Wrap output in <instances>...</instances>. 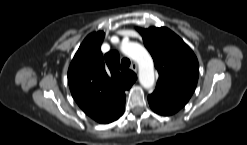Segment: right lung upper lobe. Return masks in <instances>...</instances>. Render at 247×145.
Segmentation results:
<instances>
[{"instance_id": "cb5924a9", "label": "right lung upper lobe", "mask_w": 247, "mask_h": 145, "mask_svg": "<svg viewBox=\"0 0 247 145\" xmlns=\"http://www.w3.org/2000/svg\"><path fill=\"white\" fill-rule=\"evenodd\" d=\"M104 32L88 35L76 52L69 70L68 83L79 107L99 123L117 120L125 109V90L137 76L123 69L117 51L104 56L100 46Z\"/></svg>"}]
</instances>
